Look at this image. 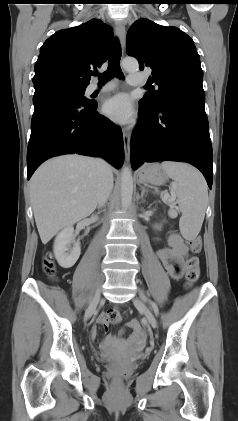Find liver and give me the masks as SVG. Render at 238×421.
Returning a JSON list of instances; mask_svg holds the SVG:
<instances>
[{
	"label": "liver",
	"mask_w": 238,
	"mask_h": 421,
	"mask_svg": "<svg viewBox=\"0 0 238 421\" xmlns=\"http://www.w3.org/2000/svg\"><path fill=\"white\" fill-rule=\"evenodd\" d=\"M97 186L96 160L86 156L55 157L36 170L30 180V197L43 244L95 210Z\"/></svg>",
	"instance_id": "1"
}]
</instances>
